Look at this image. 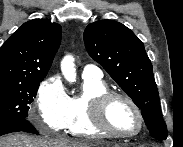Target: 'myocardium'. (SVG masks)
Returning a JSON list of instances; mask_svg holds the SVG:
<instances>
[{
  "label": "myocardium",
  "mask_w": 183,
  "mask_h": 147,
  "mask_svg": "<svg viewBox=\"0 0 183 147\" xmlns=\"http://www.w3.org/2000/svg\"><path fill=\"white\" fill-rule=\"evenodd\" d=\"M118 98L125 100L133 108L138 117L139 129L135 133H121L115 130L108 121L107 108L114 99ZM90 116L91 121L96 128L107 135L122 139H131L139 136L143 132L145 126L143 114L136 102L130 96L115 91H107L94 97L90 103Z\"/></svg>",
  "instance_id": "myocardium-1"
}]
</instances>
